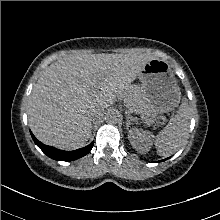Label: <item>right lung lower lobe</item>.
<instances>
[{
  "instance_id": "98d812e1",
  "label": "right lung lower lobe",
  "mask_w": 220,
  "mask_h": 220,
  "mask_svg": "<svg viewBox=\"0 0 220 220\" xmlns=\"http://www.w3.org/2000/svg\"><path fill=\"white\" fill-rule=\"evenodd\" d=\"M31 133V136L35 142V144L50 158L58 160V161H72L78 158H81L88 154L93 147V142L88 146L77 149L75 151H61L54 147L47 146L41 143L36 137Z\"/></svg>"
}]
</instances>
